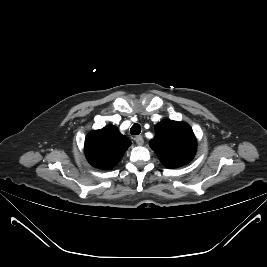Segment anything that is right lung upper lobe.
Wrapping results in <instances>:
<instances>
[{
	"label": "right lung upper lobe",
	"mask_w": 267,
	"mask_h": 267,
	"mask_svg": "<svg viewBox=\"0 0 267 267\" xmlns=\"http://www.w3.org/2000/svg\"><path fill=\"white\" fill-rule=\"evenodd\" d=\"M131 142L113 126L92 131L85 141V154L88 162L101 169L113 168L122 158Z\"/></svg>",
	"instance_id": "right-lung-upper-lobe-1"
}]
</instances>
